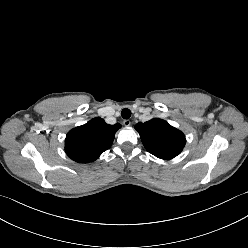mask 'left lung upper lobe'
<instances>
[{
	"label": "left lung upper lobe",
	"instance_id": "obj_1",
	"mask_svg": "<svg viewBox=\"0 0 248 248\" xmlns=\"http://www.w3.org/2000/svg\"><path fill=\"white\" fill-rule=\"evenodd\" d=\"M144 147L160 159L170 160L176 157L185 146V135L165 120L153 118L145 123H138Z\"/></svg>",
	"mask_w": 248,
	"mask_h": 248
}]
</instances>
